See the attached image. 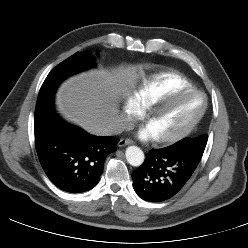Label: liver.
Wrapping results in <instances>:
<instances>
[{"label":"liver","mask_w":248,"mask_h":248,"mask_svg":"<svg viewBox=\"0 0 248 248\" xmlns=\"http://www.w3.org/2000/svg\"><path fill=\"white\" fill-rule=\"evenodd\" d=\"M134 72L133 67H119L111 71L94 69L73 76L57 91V109L66 120L87 132L106 135L118 116L119 96Z\"/></svg>","instance_id":"obj_1"}]
</instances>
